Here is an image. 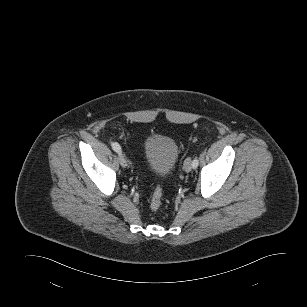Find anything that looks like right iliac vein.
Returning <instances> with one entry per match:
<instances>
[{
	"instance_id": "63e3f726",
	"label": "right iliac vein",
	"mask_w": 307,
	"mask_h": 307,
	"mask_svg": "<svg viewBox=\"0 0 307 307\" xmlns=\"http://www.w3.org/2000/svg\"><path fill=\"white\" fill-rule=\"evenodd\" d=\"M119 163L123 168H126L128 165V161L126 159V157L122 154H119Z\"/></svg>"
}]
</instances>
